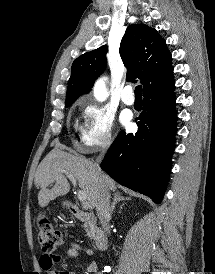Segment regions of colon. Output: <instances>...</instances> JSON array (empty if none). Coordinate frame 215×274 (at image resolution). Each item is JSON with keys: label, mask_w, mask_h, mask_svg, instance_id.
I'll list each match as a JSON object with an SVG mask.
<instances>
[{"label": "colon", "mask_w": 215, "mask_h": 274, "mask_svg": "<svg viewBox=\"0 0 215 274\" xmlns=\"http://www.w3.org/2000/svg\"><path fill=\"white\" fill-rule=\"evenodd\" d=\"M38 239L40 245L46 253H54L62 243V236L47 216L39 215L37 218Z\"/></svg>", "instance_id": "5ec220e1"}]
</instances>
